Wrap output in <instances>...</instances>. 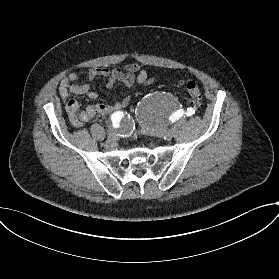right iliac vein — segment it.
<instances>
[{
    "instance_id": "1",
    "label": "right iliac vein",
    "mask_w": 279,
    "mask_h": 279,
    "mask_svg": "<svg viewBox=\"0 0 279 279\" xmlns=\"http://www.w3.org/2000/svg\"><path fill=\"white\" fill-rule=\"evenodd\" d=\"M109 136H110L111 138L115 139L116 136H117V134L115 133V131H114L113 129H110V130H109Z\"/></svg>"
}]
</instances>
